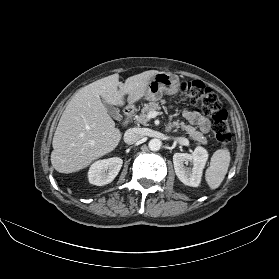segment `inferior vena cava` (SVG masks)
Here are the masks:
<instances>
[{
    "label": "inferior vena cava",
    "mask_w": 279,
    "mask_h": 279,
    "mask_svg": "<svg viewBox=\"0 0 279 279\" xmlns=\"http://www.w3.org/2000/svg\"><path fill=\"white\" fill-rule=\"evenodd\" d=\"M142 137H143V134L140 129L131 128L125 132L124 141L127 144H132V143H135V142L141 140Z\"/></svg>",
    "instance_id": "obj_1"
}]
</instances>
